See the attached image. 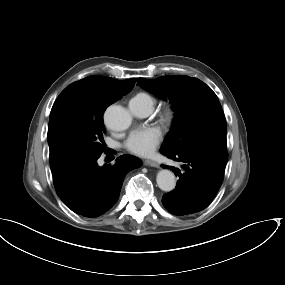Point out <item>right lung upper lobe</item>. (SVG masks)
<instances>
[{
	"mask_svg": "<svg viewBox=\"0 0 285 285\" xmlns=\"http://www.w3.org/2000/svg\"><path fill=\"white\" fill-rule=\"evenodd\" d=\"M135 82V78L129 80H116L104 76H89L74 83L99 90L116 102L122 98L123 95H126L132 90Z\"/></svg>",
	"mask_w": 285,
	"mask_h": 285,
	"instance_id": "cb5924a9",
	"label": "right lung upper lobe"
}]
</instances>
